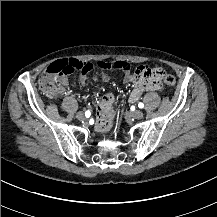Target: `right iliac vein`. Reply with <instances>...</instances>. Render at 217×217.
<instances>
[{
	"label": "right iliac vein",
	"instance_id": "63e3f726",
	"mask_svg": "<svg viewBox=\"0 0 217 217\" xmlns=\"http://www.w3.org/2000/svg\"><path fill=\"white\" fill-rule=\"evenodd\" d=\"M76 118H77L78 120H80V121L84 120V119H85L84 113L81 112V111L78 112V113L76 114Z\"/></svg>",
	"mask_w": 217,
	"mask_h": 217
}]
</instances>
